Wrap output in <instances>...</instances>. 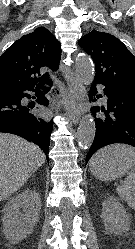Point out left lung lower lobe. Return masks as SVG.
I'll list each match as a JSON object with an SVG mask.
<instances>
[{
  "label": "left lung lower lobe",
  "instance_id": "1",
  "mask_svg": "<svg viewBox=\"0 0 135 249\" xmlns=\"http://www.w3.org/2000/svg\"><path fill=\"white\" fill-rule=\"evenodd\" d=\"M96 93L93 85L89 93L93 102L102 97L95 96ZM104 95L107 98L106 107H93L96 133L87 153L86 164L97 150L106 145L125 143L135 146V95L109 87L104 88Z\"/></svg>",
  "mask_w": 135,
  "mask_h": 249
}]
</instances>
